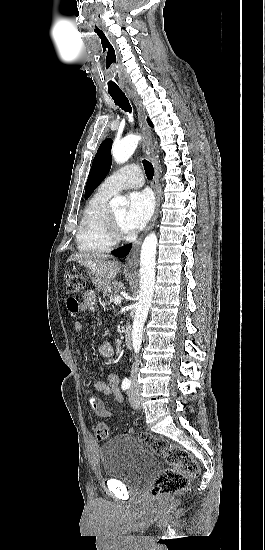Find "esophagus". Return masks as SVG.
<instances>
[{"label":"esophagus","instance_id":"1","mask_svg":"<svg viewBox=\"0 0 265 550\" xmlns=\"http://www.w3.org/2000/svg\"><path fill=\"white\" fill-rule=\"evenodd\" d=\"M128 95L132 99V101L134 102V104L136 106L137 113H138L139 126H140V129H141L142 133L146 137V139L143 143V152H144L145 156L152 162L153 167H154L153 188H154V192H155V196H156V207H155V212L153 214L151 222L148 225V227L146 228L144 234L142 236H140L134 242L133 248H132L131 252L129 253L128 257L126 258V265L130 268H135L138 265L139 250H140L142 240H143L145 234L153 228V226L156 222V219L158 217V212H159V207H160L159 166H158L157 159H156L155 154H154L153 149H152L151 132H150L149 127H148L147 122H146L145 110L142 106V103L133 91H128Z\"/></svg>","mask_w":265,"mask_h":550}]
</instances>
